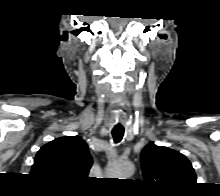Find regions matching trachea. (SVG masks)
<instances>
[{
	"label": "trachea",
	"mask_w": 220,
	"mask_h": 196,
	"mask_svg": "<svg viewBox=\"0 0 220 196\" xmlns=\"http://www.w3.org/2000/svg\"><path fill=\"white\" fill-rule=\"evenodd\" d=\"M123 135H124V128L122 127H115L112 130V136L115 143H119L122 140Z\"/></svg>",
	"instance_id": "obj_1"
}]
</instances>
